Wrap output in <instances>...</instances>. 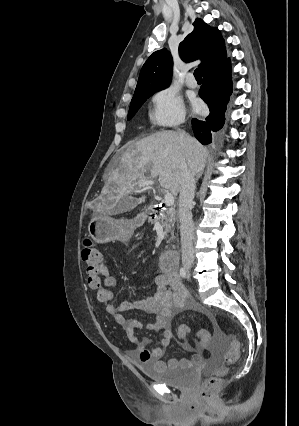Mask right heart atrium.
Masks as SVG:
<instances>
[{"mask_svg":"<svg viewBox=\"0 0 299 426\" xmlns=\"http://www.w3.org/2000/svg\"><path fill=\"white\" fill-rule=\"evenodd\" d=\"M185 115L183 101L173 87H165L152 96L150 118L156 126H178L184 121Z\"/></svg>","mask_w":299,"mask_h":426,"instance_id":"obj_1","label":"right heart atrium"}]
</instances>
